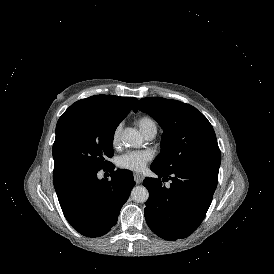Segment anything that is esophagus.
Segmentation results:
<instances>
[{"label":"esophagus","instance_id":"obj_1","mask_svg":"<svg viewBox=\"0 0 274 274\" xmlns=\"http://www.w3.org/2000/svg\"><path fill=\"white\" fill-rule=\"evenodd\" d=\"M134 180H135L136 184H140L144 180V176L141 175V174L135 173L134 174Z\"/></svg>","mask_w":274,"mask_h":274}]
</instances>
